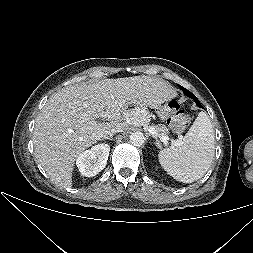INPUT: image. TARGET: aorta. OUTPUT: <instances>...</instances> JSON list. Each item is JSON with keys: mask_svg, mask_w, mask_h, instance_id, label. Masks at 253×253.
I'll list each match as a JSON object with an SVG mask.
<instances>
[{"mask_svg": "<svg viewBox=\"0 0 253 253\" xmlns=\"http://www.w3.org/2000/svg\"><path fill=\"white\" fill-rule=\"evenodd\" d=\"M130 142L134 146H142L145 142L144 134L141 132H135L130 135Z\"/></svg>", "mask_w": 253, "mask_h": 253, "instance_id": "1", "label": "aorta"}]
</instances>
